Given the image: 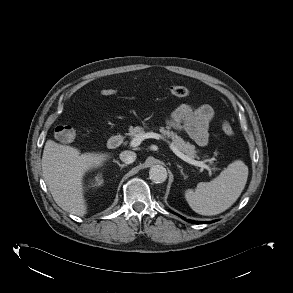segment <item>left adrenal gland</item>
Listing matches in <instances>:
<instances>
[{
    "mask_svg": "<svg viewBox=\"0 0 293 293\" xmlns=\"http://www.w3.org/2000/svg\"><path fill=\"white\" fill-rule=\"evenodd\" d=\"M177 167L180 169V172L183 175L184 179H186L187 175L183 172V168L180 165H177Z\"/></svg>",
    "mask_w": 293,
    "mask_h": 293,
    "instance_id": "a2214340",
    "label": "left adrenal gland"
}]
</instances>
